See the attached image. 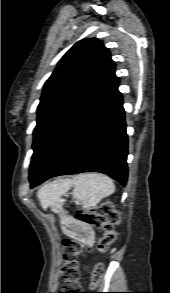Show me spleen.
I'll list each match as a JSON object with an SVG mask.
<instances>
[{"label":"spleen","instance_id":"3e777b00","mask_svg":"<svg viewBox=\"0 0 170 293\" xmlns=\"http://www.w3.org/2000/svg\"><path fill=\"white\" fill-rule=\"evenodd\" d=\"M71 184L73 198L86 210L95 207L103 198L115 191L111 178L99 173L79 174L71 181ZM50 185L56 188L57 182Z\"/></svg>","mask_w":170,"mask_h":293}]
</instances>
